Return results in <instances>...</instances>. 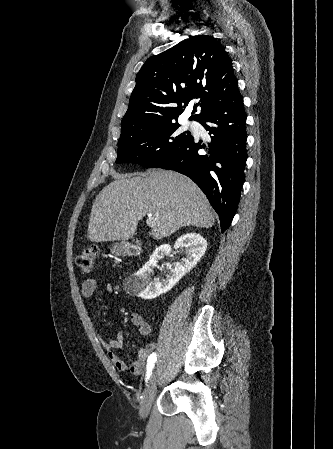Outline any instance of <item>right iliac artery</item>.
<instances>
[{"instance_id": "right-iliac-artery-1", "label": "right iliac artery", "mask_w": 333, "mask_h": 449, "mask_svg": "<svg viewBox=\"0 0 333 449\" xmlns=\"http://www.w3.org/2000/svg\"><path fill=\"white\" fill-rule=\"evenodd\" d=\"M157 360L156 353H152L147 361V372H146V382L149 380L154 364Z\"/></svg>"}]
</instances>
